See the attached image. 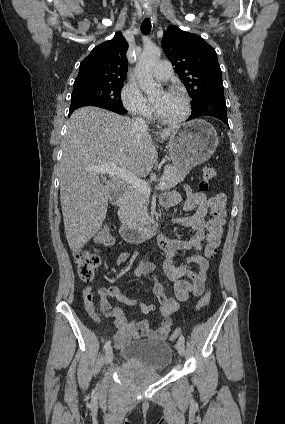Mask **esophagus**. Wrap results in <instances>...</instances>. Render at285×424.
Segmentation results:
<instances>
[{
    "instance_id": "1",
    "label": "esophagus",
    "mask_w": 285,
    "mask_h": 424,
    "mask_svg": "<svg viewBox=\"0 0 285 424\" xmlns=\"http://www.w3.org/2000/svg\"><path fill=\"white\" fill-rule=\"evenodd\" d=\"M151 11H145V15L147 16V17H150L151 16Z\"/></svg>"
}]
</instances>
